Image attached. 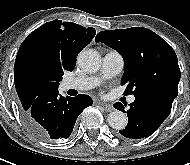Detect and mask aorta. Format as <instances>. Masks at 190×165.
I'll return each mask as SVG.
<instances>
[{"label": "aorta", "instance_id": "1", "mask_svg": "<svg viewBox=\"0 0 190 165\" xmlns=\"http://www.w3.org/2000/svg\"><path fill=\"white\" fill-rule=\"evenodd\" d=\"M77 62L85 72L93 73L100 68L101 57L97 51L88 49L79 53ZM108 123L113 129H124L127 125V116L125 113L115 110L108 115Z\"/></svg>", "mask_w": 190, "mask_h": 165}]
</instances>
